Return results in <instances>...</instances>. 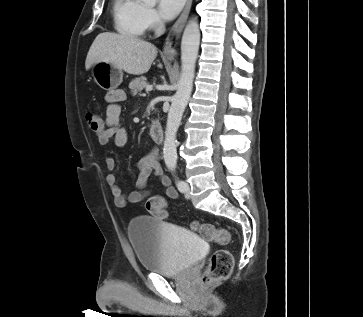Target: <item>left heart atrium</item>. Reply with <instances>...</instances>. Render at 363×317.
<instances>
[{
	"label": "left heart atrium",
	"instance_id": "left-heart-atrium-1",
	"mask_svg": "<svg viewBox=\"0 0 363 317\" xmlns=\"http://www.w3.org/2000/svg\"><path fill=\"white\" fill-rule=\"evenodd\" d=\"M185 0H159L158 8L165 19H173L181 10Z\"/></svg>",
	"mask_w": 363,
	"mask_h": 317
}]
</instances>
